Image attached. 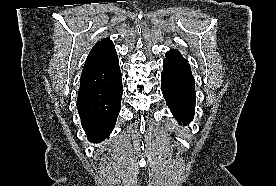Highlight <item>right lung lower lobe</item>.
Here are the masks:
<instances>
[{
  "label": "right lung lower lobe",
  "instance_id": "obj_1",
  "mask_svg": "<svg viewBox=\"0 0 276 186\" xmlns=\"http://www.w3.org/2000/svg\"><path fill=\"white\" fill-rule=\"evenodd\" d=\"M122 75L94 86H80L77 108L88 140L99 143L109 137L121 109Z\"/></svg>",
  "mask_w": 276,
  "mask_h": 186
}]
</instances>
